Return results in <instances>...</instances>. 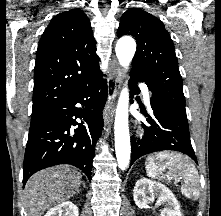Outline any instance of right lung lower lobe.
<instances>
[{"label": "right lung lower lobe", "instance_id": "1", "mask_svg": "<svg viewBox=\"0 0 221 216\" xmlns=\"http://www.w3.org/2000/svg\"><path fill=\"white\" fill-rule=\"evenodd\" d=\"M106 97L107 85L101 76L42 114L41 121L29 131L23 186L35 172L59 164L74 165L91 180L92 160L95 144L101 136V115ZM78 103L82 107L76 106ZM73 117L81 118L82 122L77 123Z\"/></svg>", "mask_w": 221, "mask_h": 216}]
</instances>
